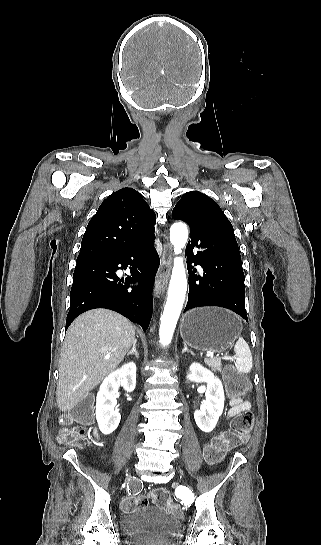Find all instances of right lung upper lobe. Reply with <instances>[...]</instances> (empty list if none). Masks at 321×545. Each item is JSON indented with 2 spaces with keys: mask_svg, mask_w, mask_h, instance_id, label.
<instances>
[{
  "mask_svg": "<svg viewBox=\"0 0 321 545\" xmlns=\"http://www.w3.org/2000/svg\"><path fill=\"white\" fill-rule=\"evenodd\" d=\"M155 213L132 188L105 199L88 223L77 262L116 255L154 235Z\"/></svg>",
  "mask_w": 321,
  "mask_h": 545,
  "instance_id": "1",
  "label": "right lung upper lobe"
}]
</instances>
